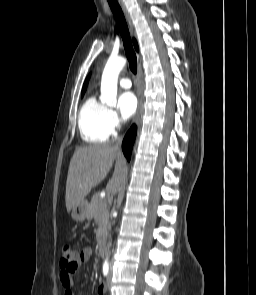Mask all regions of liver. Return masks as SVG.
<instances>
[{"label": "liver", "mask_w": 256, "mask_h": 295, "mask_svg": "<svg viewBox=\"0 0 256 295\" xmlns=\"http://www.w3.org/2000/svg\"><path fill=\"white\" fill-rule=\"evenodd\" d=\"M114 161V173L106 187L112 195L120 186L125 165L119 148L110 144H93L75 150L66 182L65 203L68 212L82 203L90 190L107 176Z\"/></svg>", "instance_id": "6515ba94"}]
</instances>
